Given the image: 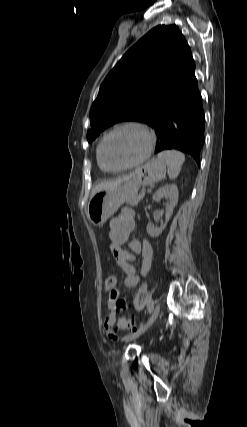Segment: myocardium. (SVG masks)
<instances>
[{"instance_id":"obj_1","label":"myocardium","mask_w":247,"mask_h":427,"mask_svg":"<svg viewBox=\"0 0 247 427\" xmlns=\"http://www.w3.org/2000/svg\"><path fill=\"white\" fill-rule=\"evenodd\" d=\"M123 128H136L140 131H142L145 136L147 137L148 140V144H147V148L144 152V154L135 162L128 164L126 166L123 167H119V168H111L109 167L105 160H104V156H103V150H104V145L106 143V141L108 140V138L113 135L115 132L123 129ZM155 142H156V136L155 133L153 132V130L148 127L146 124L141 123V122H137V121H126V122H122L118 125H116L115 127H113L110 131H108L104 137L102 138L99 147H98V157H99V161L102 165V167L108 171V172H112V173H116V172H121V171H125L131 168H134L142 163H144L151 155L154 146H155Z\"/></svg>"}]
</instances>
